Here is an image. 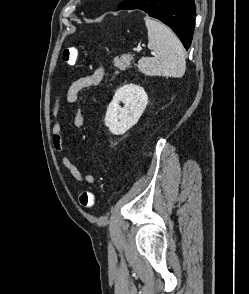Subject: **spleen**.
<instances>
[{"instance_id":"3e777b00","label":"spleen","mask_w":249,"mask_h":294,"mask_svg":"<svg viewBox=\"0 0 249 294\" xmlns=\"http://www.w3.org/2000/svg\"><path fill=\"white\" fill-rule=\"evenodd\" d=\"M148 48L155 56L143 57L138 61V69L147 76L180 78L184 75L186 61L184 48L177 36L161 22L146 18Z\"/></svg>"}]
</instances>
